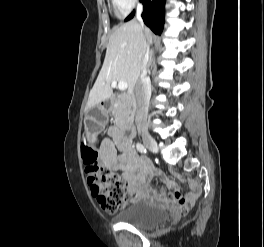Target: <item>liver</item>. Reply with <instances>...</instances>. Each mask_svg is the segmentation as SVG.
I'll return each mask as SVG.
<instances>
[{
  "label": "liver",
  "instance_id": "liver-1",
  "mask_svg": "<svg viewBox=\"0 0 264 247\" xmlns=\"http://www.w3.org/2000/svg\"><path fill=\"white\" fill-rule=\"evenodd\" d=\"M152 43V33L136 21L119 27L109 38L102 69L89 94L87 109L111 98L113 81L128 83V93L133 92L139 77L142 61V44Z\"/></svg>",
  "mask_w": 264,
  "mask_h": 247
}]
</instances>
